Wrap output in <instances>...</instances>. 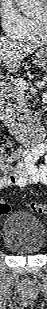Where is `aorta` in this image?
I'll return each mask as SVG.
<instances>
[{"mask_svg": "<svg viewBox=\"0 0 47 309\" xmlns=\"http://www.w3.org/2000/svg\"><path fill=\"white\" fill-rule=\"evenodd\" d=\"M24 15L30 16L36 12L35 0H14Z\"/></svg>", "mask_w": 47, "mask_h": 309, "instance_id": "obj_1", "label": "aorta"}]
</instances>
